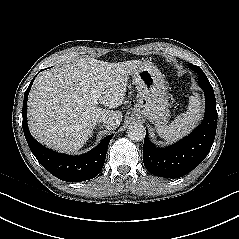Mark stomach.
<instances>
[{"mask_svg":"<svg viewBox=\"0 0 239 239\" xmlns=\"http://www.w3.org/2000/svg\"><path fill=\"white\" fill-rule=\"evenodd\" d=\"M131 76L138 92L133 114L149 119L156 127L166 124L170 111L167 86L161 72L148 62H140Z\"/></svg>","mask_w":239,"mask_h":239,"instance_id":"stomach-1","label":"stomach"}]
</instances>
